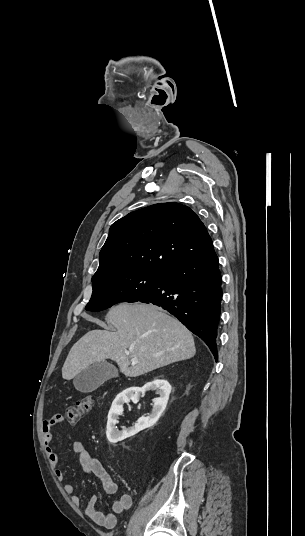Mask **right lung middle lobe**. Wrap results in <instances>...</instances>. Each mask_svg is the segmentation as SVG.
I'll list each match as a JSON object with an SVG mask.
<instances>
[{
    "label": "right lung middle lobe",
    "mask_w": 305,
    "mask_h": 536,
    "mask_svg": "<svg viewBox=\"0 0 305 536\" xmlns=\"http://www.w3.org/2000/svg\"><path fill=\"white\" fill-rule=\"evenodd\" d=\"M166 272L135 271L117 278L92 281L88 311H101L120 302H136L152 292L166 278Z\"/></svg>",
    "instance_id": "1"
}]
</instances>
